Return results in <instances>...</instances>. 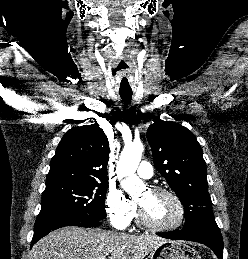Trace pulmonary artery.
Listing matches in <instances>:
<instances>
[{"label":"pulmonary artery","instance_id":"e3ab8cb5","mask_svg":"<svg viewBox=\"0 0 248 259\" xmlns=\"http://www.w3.org/2000/svg\"><path fill=\"white\" fill-rule=\"evenodd\" d=\"M137 174L143 179H149L153 175V168L149 162L143 161L140 163Z\"/></svg>","mask_w":248,"mask_h":259}]
</instances>
